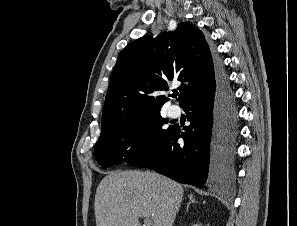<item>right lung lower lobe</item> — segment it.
Segmentation results:
<instances>
[{"label":"right lung lower lobe","mask_w":297,"mask_h":226,"mask_svg":"<svg viewBox=\"0 0 297 226\" xmlns=\"http://www.w3.org/2000/svg\"><path fill=\"white\" fill-rule=\"evenodd\" d=\"M181 106L190 121L185 132L173 126L155 149L129 164L200 188L232 180L238 115L233 90L220 62L215 61L214 83ZM179 138L184 139V145L178 143Z\"/></svg>","instance_id":"right-lung-lower-lobe-1"}]
</instances>
